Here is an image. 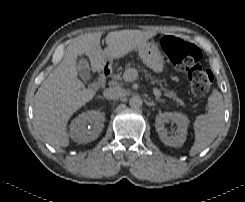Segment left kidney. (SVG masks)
Listing matches in <instances>:
<instances>
[{
	"instance_id": "left-kidney-1",
	"label": "left kidney",
	"mask_w": 245,
	"mask_h": 202,
	"mask_svg": "<svg viewBox=\"0 0 245 202\" xmlns=\"http://www.w3.org/2000/svg\"><path fill=\"white\" fill-rule=\"evenodd\" d=\"M170 121L176 124L177 129L174 136H168L167 130L164 127V124ZM189 122L188 117L182 113L165 112L156 116L155 127L161 141L165 145L177 148L181 147L186 140Z\"/></svg>"
}]
</instances>
